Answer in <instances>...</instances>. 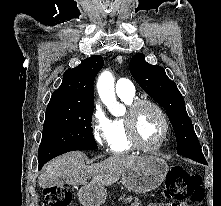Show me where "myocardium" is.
Returning <instances> with one entry per match:
<instances>
[{
  "instance_id": "myocardium-1",
  "label": "myocardium",
  "mask_w": 221,
  "mask_h": 206,
  "mask_svg": "<svg viewBox=\"0 0 221 206\" xmlns=\"http://www.w3.org/2000/svg\"><path fill=\"white\" fill-rule=\"evenodd\" d=\"M144 106H148L154 109L159 114L163 122V135L161 137V140L154 146L143 144L139 137L137 129V113L139 109ZM125 123L128 137L132 146L135 149L143 152H154L159 150L165 144L170 131L169 121L163 109L157 103L148 99H138L129 105L128 112L125 116Z\"/></svg>"
}]
</instances>
